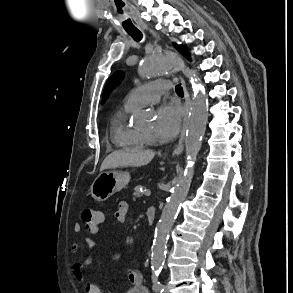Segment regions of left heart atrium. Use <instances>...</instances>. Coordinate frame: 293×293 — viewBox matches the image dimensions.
Listing matches in <instances>:
<instances>
[{
    "label": "left heart atrium",
    "mask_w": 293,
    "mask_h": 293,
    "mask_svg": "<svg viewBox=\"0 0 293 293\" xmlns=\"http://www.w3.org/2000/svg\"><path fill=\"white\" fill-rule=\"evenodd\" d=\"M183 116L184 110L177 103L160 106L157 110L156 134L165 139L174 137L179 131Z\"/></svg>",
    "instance_id": "1"
}]
</instances>
